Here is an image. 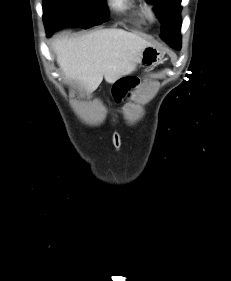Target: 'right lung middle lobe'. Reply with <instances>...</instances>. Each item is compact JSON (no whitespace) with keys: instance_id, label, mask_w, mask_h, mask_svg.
<instances>
[{"instance_id":"obj_1","label":"right lung middle lobe","mask_w":231,"mask_h":281,"mask_svg":"<svg viewBox=\"0 0 231 281\" xmlns=\"http://www.w3.org/2000/svg\"><path fill=\"white\" fill-rule=\"evenodd\" d=\"M105 0H43V20L52 32L66 26L84 29L108 20Z\"/></svg>"}]
</instances>
